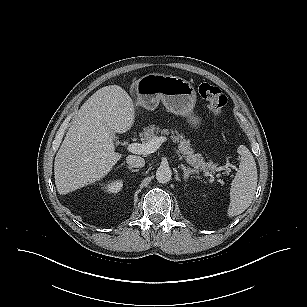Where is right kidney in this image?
<instances>
[{
	"mask_svg": "<svg viewBox=\"0 0 307 307\" xmlns=\"http://www.w3.org/2000/svg\"><path fill=\"white\" fill-rule=\"evenodd\" d=\"M123 187V181L122 180H114L111 183H108L104 186V192L106 193H118L121 188Z\"/></svg>",
	"mask_w": 307,
	"mask_h": 307,
	"instance_id": "1",
	"label": "right kidney"
}]
</instances>
